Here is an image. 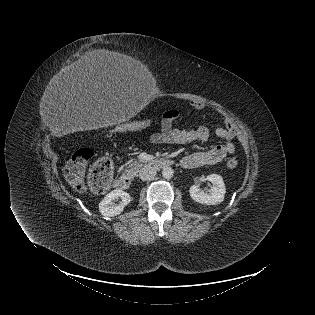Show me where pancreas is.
<instances>
[{"label":"pancreas","instance_id":"1","mask_svg":"<svg viewBox=\"0 0 315 315\" xmlns=\"http://www.w3.org/2000/svg\"><path fill=\"white\" fill-rule=\"evenodd\" d=\"M127 165H128L127 169H128L129 171H136V170H138V169L142 166V163H141V162H137V161L135 160V161H133V162L128 161V162H127Z\"/></svg>","mask_w":315,"mask_h":315}]
</instances>
